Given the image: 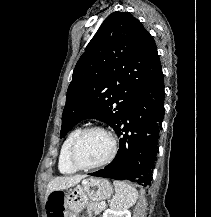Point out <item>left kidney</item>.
Returning <instances> with one entry per match:
<instances>
[{"mask_svg":"<svg viewBox=\"0 0 211 217\" xmlns=\"http://www.w3.org/2000/svg\"><path fill=\"white\" fill-rule=\"evenodd\" d=\"M102 217H131V213L129 210H114V209H107Z\"/></svg>","mask_w":211,"mask_h":217,"instance_id":"5707ae66","label":"left kidney"}]
</instances>
